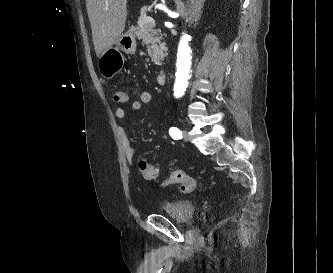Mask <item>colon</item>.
<instances>
[{
    "instance_id": "colon-1",
    "label": "colon",
    "mask_w": 333,
    "mask_h": 273,
    "mask_svg": "<svg viewBox=\"0 0 333 273\" xmlns=\"http://www.w3.org/2000/svg\"><path fill=\"white\" fill-rule=\"evenodd\" d=\"M114 100L118 103L125 104L129 101V95L122 90L114 94ZM138 169L145 180L154 181L158 178L157 170L149 165L145 160L140 159ZM177 184L183 193H191L196 189L197 181L181 170L171 172L164 180V185Z\"/></svg>"
}]
</instances>
